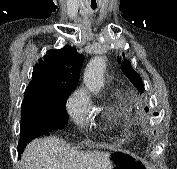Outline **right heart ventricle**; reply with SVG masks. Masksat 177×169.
<instances>
[{"mask_svg":"<svg viewBox=\"0 0 177 169\" xmlns=\"http://www.w3.org/2000/svg\"><path fill=\"white\" fill-rule=\"evenodd\" d=\"M130 106L124 97H120L117 104L108 110L110 119L114 122L128 117Z\"/></svg>","mask_w":177,"mask_h":169,"instance_id":"e07e8e85","label":"right heart ventricle"}]
</instances>
